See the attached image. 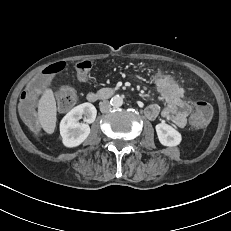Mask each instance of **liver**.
Returning a JSON list of instances; mask_svg holds the SVG:
<instances>
[{"mask_svg": "<svg viewBox=\"0 0 231 231\" xmlns=\"http://www.w3.org/2000/svg\"><path fill=\"white\" fill-rule=\"evenodd\" d=\"M38 121L43 130L51 135L57 121L56 101L52 89H46L38 102Z\"/></svg>", "mask_w": 231, "mask_h": 231, "instance_id": "1", "label": "liver"}]
</instances>
